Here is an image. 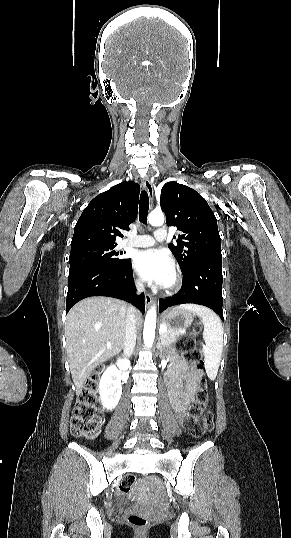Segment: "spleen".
Listing matches in <instances>:
<instances>
[{
    "instance_id": "3e777b00",
    "label": "spleen",
    "mask_w": 291,
    "mask_h": 538,
    "mask_svg": "<svg viewBox=\"0 0 291 538\" xmlns=\"http://www.w3.org/2000/svg\"><path fill=\"white\" fill-rule=\"evenodd\" d=\"M177 308L197 314L203 324V347L205 369L207 376L214 380L218 373L223 349V327L218 316L209 308L196 304H182Z\"/></svg>"
}]
</instances>
